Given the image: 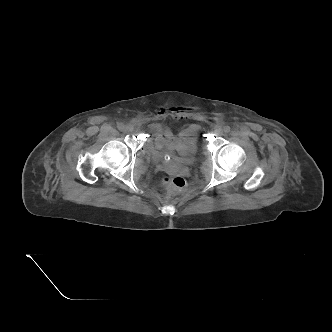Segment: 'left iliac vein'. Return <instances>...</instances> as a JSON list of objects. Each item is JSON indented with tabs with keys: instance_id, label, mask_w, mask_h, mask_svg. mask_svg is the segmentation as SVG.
<instances>
[{
	"instance_id": "4c4485c4",
	"label": "left iliac vein",
	"mask_w": 332,
	"mask_h": 332,
	"mask_svg": "<svg viewBox=\"0 0 332 332\" xmlns=\"http://www.w3.org/2000/svg\"><path fill=\"white\" fill-rule=\"evenodd\" d=\"M215 133H216L217 135L221 136V135H223L224 130H223L222 128H217V129L215 130Z\"/></svg>"
}]
</instances>
